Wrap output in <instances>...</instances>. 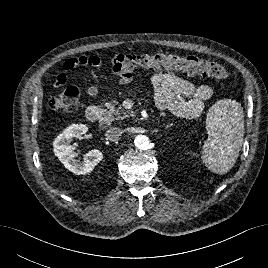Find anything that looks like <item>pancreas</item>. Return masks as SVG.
<instances>
[{"mask_svg":"<svg viewBox=\"0 0 268 268\" xmlns=\"http://www.w3.org/2000/svg\"><path fill=\"white\" fill-rule=\"evenodd\" d=\"M116 101H109L105 104L106 113L112 120H120L133 115V112L123 109L122 107H116Z\"/></svg>","mask_w":268,"mask_h":268,"instance_id":"pancreas-1","label":"pancreas"}]
</instances>
